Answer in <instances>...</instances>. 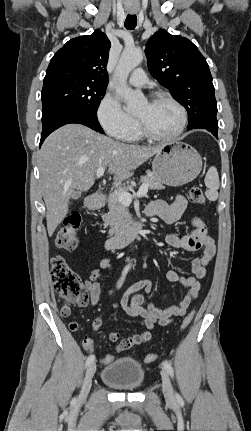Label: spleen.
<instances>
[{"instance_id": "obj_1", "label": "spleen", "mask_w": 251, "mask_h": 431, "mask_svg": "<svg viewBox=\"0 0 251 431\" xmlns=\"http://www.w3.org/2000/svg\"><path fill=\"white\" fill-rule=\"evenodd\" d=\"M205 185L208 188L206 191V197L210 201H215L218 198V189L220 187L219 182V175L217 172L216 167L212 166L208 169L205 179H204Z\"/></svg>"}]
</instances>
